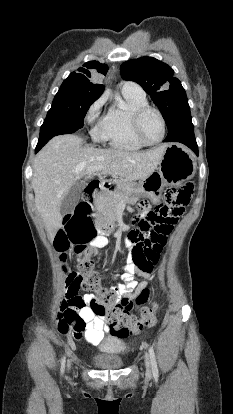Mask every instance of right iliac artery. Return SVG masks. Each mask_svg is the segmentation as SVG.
<instances>
[{
    "label": "right iliac artery",
    "instance_id": "right-iliac-artery-1",
    "mask_svg": "<svg viewBox=\"0 0 233 414\" xmlns=\"http://www.w3.org/2000/svg\"><path fill=\"white\" fill-rule=\"evenodd\" d=\"M64 368H65V357L62 358V362H61V373L62 374L64 372Z\"/></svg>",
    "mask_w": 233,
    "mask_h": 414
}]
</instances>
